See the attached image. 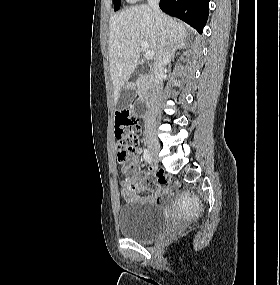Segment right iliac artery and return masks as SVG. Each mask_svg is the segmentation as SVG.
I'll list each match as a JSON object with an SVG mask.
<instances>
[{
    "mask_svg": "<svg viewBox=\"0 0 280 285\" xmlns=\"http://www.w3.org/2000/svg\"><path fill=\"white\" fill-rule=\"evenodd\" d=\"M143 157L145 161H148L150 159V154H149L148 149H144Z\"/></svg>",
    "mask_w": 280,
    "mask_h": 285,
    "instance_id": "right-iliac-artery-1",
    "label": "right iliac artery"
}]
</instances>
